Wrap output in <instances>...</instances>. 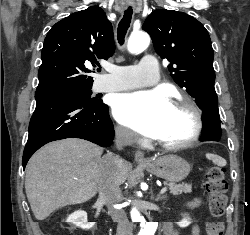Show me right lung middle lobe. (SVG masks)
<instances>
[{"instance_id": "1", "label": "right lung middle lobe", "mask_w": 250, "mask_h": 235, "mask_svg": "<svg viewBox=\"0 0 250 235\" xmlns=\"http://www.w3.org/2000/svg\"><path fill=\"white\" fill-rule=\"evenodd\" d=\"M91 87L83 88V89H77L73 91H68V92H63L59 94H54L50 96H78V97H83L91 102H96L98 99L96 98H91Z\"/></svg>"}]
</instances>
